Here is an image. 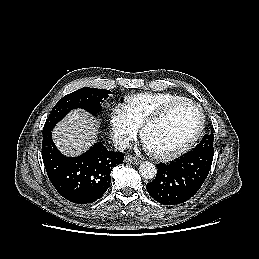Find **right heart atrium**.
<instances>
[{"label":"right heart atrium","mask_w":259,"mask_h":259,"mask_svg":"<svg viewBox=\"0 0 259 259\" xmlns=\"http://www.w3.org/2000/svg\"><path fill=\"white\" fill-rule=\"evenodd\" d=\"M109 122L115 144L120 148H127L136 138L138 127L131 121L126 108L116 105L111 110Z\"/></svg>","instance_id":"obj_1"}]
</instances>
